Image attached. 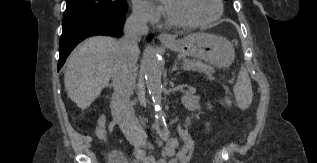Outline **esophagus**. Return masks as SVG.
I'll return each mask as SVG.
<instances>
[{"label": "esophagus", "instance_id": "esophagus-1", "mask_svg": "<svg viewBox=\"0 0 317 163\" xmlns=\"http://www.w3.org/2000/svg\"><path fill=\"white\" fill-rule=\"evenodd\" d=\"M158 39L161 41V42H167V41H172L173 38L167 34V33H161L158 35Z\"/></svg>", "mask_w": 317, "mask_h": 163}]
</instances>
